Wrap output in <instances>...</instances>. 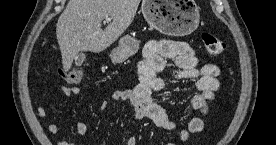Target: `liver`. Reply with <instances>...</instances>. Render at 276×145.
I'll use <instances>...</instances> for the list:
<instances>
[{
  "label": "liver",
  "mask_w": 276,
  "mask_h": 145,
  "mask_svg": "<svg viewBox=\"0 0 276 145\" xmlns=\"http://www.w3.org/2000/svg\"><path fill=\"white\" fill-rule=\"evenodd\" d=\"M141 0H69L56 24L62 65L68 71L80 51L100 53L132 23ZM112 22L102 30L101 22Z\"/></svg>",
  "instance_id": "liver-1"
}]
</instances>
